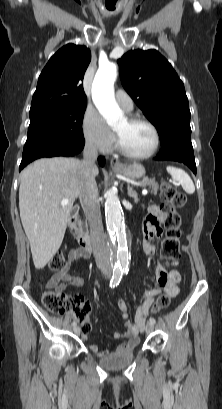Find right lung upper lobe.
<instances>
[{"label": "right lung upper lobe", "mask_w": 222, "mask_h": 409, "mask_svg": "<svg viewBox=\"0 0 222 409\" xmlns=\"http://www.w3.org/2000/svg\"><path fill=\"white\" fill-rule=\"evenodd\" d=\"M91 61L85 46L67 44L57 51L41 72L31 109L56 104L87 103L84 73Z\"/></svg>", "instance_id": "right-lung-upper-lobe-1"}]
</instances>
